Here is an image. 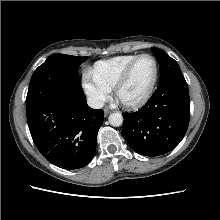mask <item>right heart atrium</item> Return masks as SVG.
Listing matches in <instances>:
<instances>
[{
  "instance_id": "right-heart-atrium-1",
  "label": "right heart atrium",
  "mask_w": 220,
  "mask_h": 220,
  "mask_svg": "<svg viewBox=\"0 0 220 220\" xmlns=\"http://www.w3.org/2000/svg\"><path fill=\"white\" fill-rule=\"evenodd\" d=\"M82 84L89 102L94 107H101L108 100L111 89L99 82L90 71H84Z\"/></svg>"
}]
</instances>
